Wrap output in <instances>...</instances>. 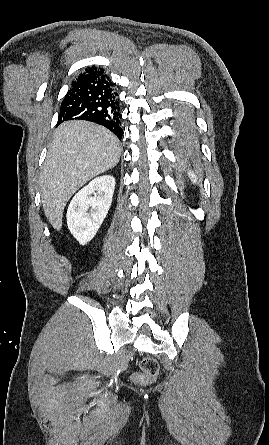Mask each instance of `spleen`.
<instances>
[{"label": "spleen", "mask_w": 269, "mask_h": 445, "mask_svg": "<svg viewBox=\"0 0 269 445\" xmlns=\"http://www.w3.org/2000/svg\"><path fill=\"white\" fill-rule=\"evenodd\" d=\"M189 176H190L191 181H192L193 183L198 182V177H197V175H196L193 171H190V172H189Z\"/></svg>", "instance_id": "obj_1"}]
</instances>
